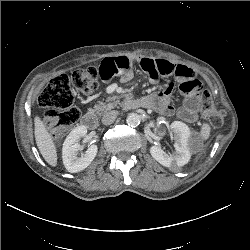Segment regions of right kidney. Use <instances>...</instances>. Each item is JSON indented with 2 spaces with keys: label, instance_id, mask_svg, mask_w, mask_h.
Wrapping results in <instances>:
<instances>
[{
  "label": "right kidney",
  "instance_id": "right-kidney-1",
  "mask_svg": "<svg viewBox=\"0 0 250 250\" xmlns=\"http://www.w3.org/2000/svg\"><path fill=\"white\" fill-rule=\"evenodd\" d=\"M86 134V127L78 126L70 132L63 143V164L71 173L80 172L87 168L97 155V145H91L85 154H81L80 157L77 156V152L81 149V145L78 141L80 138L85 137Z\"/></svg>",
  "mask_w": 250,
  "mask_h": 250
}]
</instances>
